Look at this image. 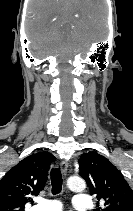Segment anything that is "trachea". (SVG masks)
Listing matches in <instances>:
<instances>
[{
  "mask_svg": "<svg viewBox=\"0 0 133 211\" xmlns=\"http://www.w3.org/2000/svg\"><path fill=\"white\" fill-rule=\"evenodd\" d=\"M52 193L58 194L62 190V174L60 168H52L51 170Z\"/></svg>",
  "mask_w": 133,
  "mask_h": 211,
  "instance_id": "1",
  "label": "trachea"
}]
</instances>
